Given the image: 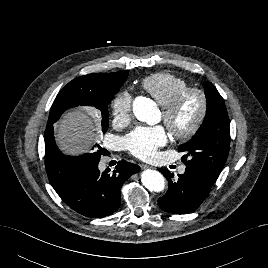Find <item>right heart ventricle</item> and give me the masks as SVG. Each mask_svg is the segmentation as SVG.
<instances>
[{"label": "right heart ventricle", "mask_w": 268, "mask_h": 268, "mask_svg": "<svg viewBox=\"0 0 268 268\" xmlns=\"http://www.w3.org/2000/svg\"><path fill=\"white\" fill-rule=\"evenodd\" d=\"M141 86L163 107L177 92L186 88L187 82L171 73L158 72L143 79Z\"/></svg>", "instance_id": "obj_1"}]
</instances>
